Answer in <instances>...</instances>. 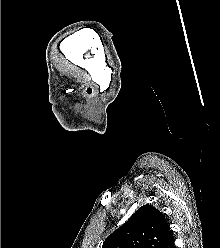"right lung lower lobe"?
Masks as SVG:
<instances>
[{
	"mask_svg": "<svg viewBox=\"0 0 220 248\" xmlns=\"http://www.w3.org/2000/svg\"><path fill=\"white\" fill-rule=\"evenodd\" d=\"M164 248H176L174 245V238H172L165 246Z\"/></svg>",
	"mask_w": 220,
	"mask_h": 248,
	"instance_id": "right-lung-lower-lobe-1",
	"label": "right lung lower lobe"
}]
</instances>
